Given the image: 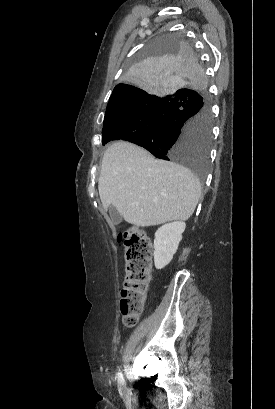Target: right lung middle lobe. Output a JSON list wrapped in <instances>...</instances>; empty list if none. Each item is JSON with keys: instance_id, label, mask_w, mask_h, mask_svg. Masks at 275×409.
<instances>
[{"instance_id": "obj_1", "label": "right lung middle lobe", "mask_w": 275, "mask_h": 409, "mask_svg": "<svg viewBox=\"0 0 275 409\" xmlns=\"http://www.w3.org/2000/svg\"><path fill=\"white\" fill-rule=\"evenodd\" d=\"M134 50L123 77L135 94L106 111L102 142L126 140L196 173L201 182L211 145L207 78L189 41L169 35ZM203 187V184H200Z\"/></svg>"}]
</instances>
